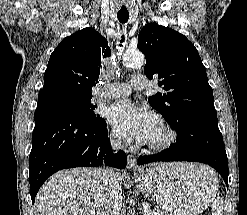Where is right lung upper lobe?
Masks as SVG:
<instances>
[{"instance_id":"right-lung-upper-lobe-1","label":"right lung upper lobe","mask_w":247,"mask_h":215,"mask_svg":"<svg viewBox=\"0 0 247 215\" xmlns=\"http://www.w3.org/2000/svg\"><path fill=\"white\" fill-rule=\"evenodd\" d=\"M110 55L107 40L93 28L64 38L50 56L42 90L67 88L92 95L102 67L101 58Z\"/></svg>"}]
</instances>
